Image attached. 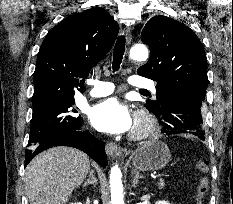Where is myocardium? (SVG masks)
<instances>
[{"mask_svg": "<svg viewBox=\"0 0 233 204\" xmlns=\"http://www.w3.org/2000/svg\"><path fill=\"white\" fill-rule=\"evenodd\" d=\"M156 128V120L148 111L141 109L136 112L135 124L130 133L133 140H141L151 135Z\"/></svg>", "mask_w": 233, "mask_h": 204, "instance_id": "1", "label": "myocardium"}]
</instances>
